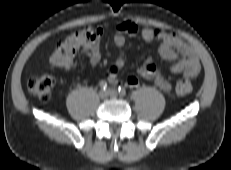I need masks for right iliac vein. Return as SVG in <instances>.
Returning a JSON list of instances; mask_svg holds the SVG:
<instances>
[{"instance_id": "obj_1", "label": "right iliac vein", "mask_w": 231, "mask_h": 170, "mask_svg": "<svg viewBox=\"0 0 231 170\" xmlns=\"http://www.w3.org/2000/svg\"><path fill=\"white\" fill-rule=\"evenodd\" d=\"M108 91H105V90H101L100 92H99V97L101 98V99H106L107 97H108Z\"/></svg>"}]
</instances>
